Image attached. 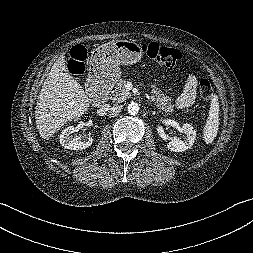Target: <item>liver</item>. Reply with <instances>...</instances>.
Instances as JSON below:
<instances>
[{
    "label": "liver",
    "instance_id": "obj_1",
    "mask_svg": "<svg viewBox=\"0 0 253 253\" xmlns=\"http://www.w3.org/2000/svg\"><path fill=\"white\" fill-rule=\"evenodd\" d=\"M62 54L53 64L35 107L36 128L43 139H50L66 122L77 120L90 108L88 94L65 67Z\"/></svg>",
    "mask_w": 253,
    "mask_h": 253
}]
</instances>
